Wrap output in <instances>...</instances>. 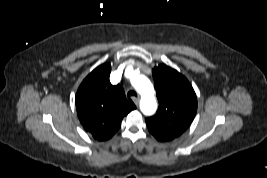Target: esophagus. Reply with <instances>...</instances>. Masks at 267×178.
Here are the masks:
<instances>
[{
    "label": "esophagus",
    "mask_w": 267,
    "mask_h": 178,
    "mask_svg": "<svg viewBox=\"0 0 267 178\" xmlns=\"http://www.w3.org/2000/svg\"><path fill=\"white\" fill-rule=\"evenodd\" d=\"M132 100H133L134 104L138 106V104H139V98L132 97Z\"/></svg>",
    "instance_id": "obj_1"
}]
</instances>
